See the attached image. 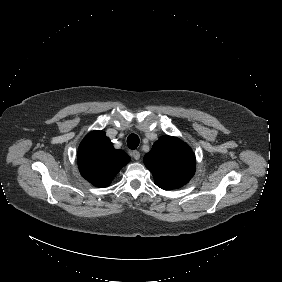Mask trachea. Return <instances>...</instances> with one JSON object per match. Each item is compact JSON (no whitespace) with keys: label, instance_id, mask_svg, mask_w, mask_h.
Returning a JSON list of instances; mask_svg holds the SVG:
<instances>
[{"label":"trachea","instance_id":"obj_1","mask_svg":"<svg viewBox=\"0 0 282 282\" xmlns=\"http://www.w3.org/2000/svg\"><path fill=\"white\" fill-rule=\"evenodd\" d=\"M127 145L130 149L135 150L139 146V137L132 133L127 138Z\"/></svg>","mask_w":282,"mask_h":282}]
</instances>
